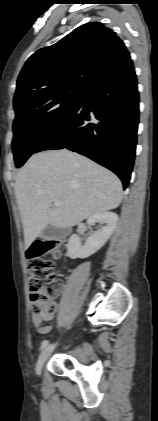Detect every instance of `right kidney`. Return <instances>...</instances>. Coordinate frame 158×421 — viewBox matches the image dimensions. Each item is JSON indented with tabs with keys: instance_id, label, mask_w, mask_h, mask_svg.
<instances>
[{
	"instance_id": "obj_1",
	"label": "right kidney",
	"mask_w": 158,
	"mask_h": 421,
	"mask_svg": "<svg viewBox=\"0 0 158 421\" xmlns=\"http://www.w3.org/2000/svg\"><path fill=\"white\" fill-rule=\"evenodd\" d=\"M118 221V216L113 212H103L88 218L89 226L96 223L105 224L98 231L91 233L85 244L81 245L78 235L73 234L67 244L68 256L72 259L87 258L96 253L114 232Z\"/></svg>"
}]
</instances>
